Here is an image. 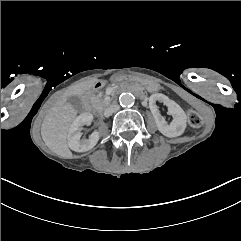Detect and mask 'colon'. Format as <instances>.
<instances>
[{
	"mask_svg": "<svg viewBox=\"0 0 241 241\" xmlns=\"http://www.w3.org/2000/svg\"><path fill=\"white\" fill-rule=\"evenodd\" d=\"M187 116H188L189 124L192 127H199L202 125L203 120L196 111L189 110Z\"/></svg>",
	"mask_w": 241,
	"mask_h": 241,
	"instance_id": "colon-1",
	"label": "colon"
}]
</instances>
